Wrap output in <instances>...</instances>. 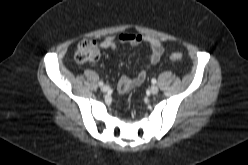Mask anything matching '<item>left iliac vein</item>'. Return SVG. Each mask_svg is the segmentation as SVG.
<instances>
[{"instance_id": "1", "label": "left iliac vein", "mask_w": 248, "mask_h": 165, "mask_svg": "<svg viewBox=\"0 0 248 165\" xmlns=\"http://www.w3.org/2000/svg\"><path fill=\"white\" fill-rule=\"evenodd\" d=\"M158 91H159V88L157 86L153 85V86L150 87V92L152 94H157Z\"/></svg>"}]
</instances>
